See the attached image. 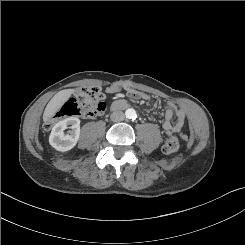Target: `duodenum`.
Masks as SVG:
<instances>
[{
	"instance_id": "duodenum-1",
	"label": "duodenum",
	"mask_w": 245,
	"mask_h": 245,
	"mask_svg": "<svg viewBox=\"0 0 245 245\" xmlns=\"http://www.w3.org/2000/svg\"><path fill=\"white\" fill-rule=\"evenodd\" d=\"M128 107H129V105H128L127 103H124V104L118 106V107L115 108V109H125V108H128Z\"/></svg>"
}]
</instances>
